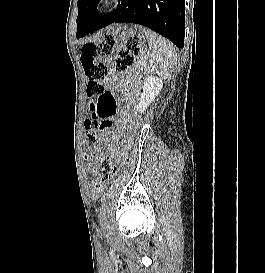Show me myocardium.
<instances>
[{
	"instance_id": "f54148a6",
	"label": "myocardium",
	"mask_w": 265,
	"mask_h": 273,
	"mask_svg": "<svg viewBox=\"0 0 265 273\" xmlns=\"http://www.w3.org/2000/svg\"><path fill=\"white\" fill-rule=\"evenodd\" d=\"M120 3V0H98L94 6L95 13L104 15L113 11Z\"/></svg>"
}]
</instances>
